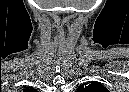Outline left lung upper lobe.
Masks as SVG:
<instances>
[{"label":"left lung upper lobe","instance_id":"obj_1","mask_svg":"<svg viewBox=\"0 0 129 92\" xmlns=\"http://www.w3.org/2000/svg\"><path fill=\"white\" fill-rule=\"evenodd\" d=\"M77 91L79 92H109L104 86L100 83L92 81L89 84L80 86Z\"/></svg>","mask_w":129,"mask_h":92}]
</instances>
